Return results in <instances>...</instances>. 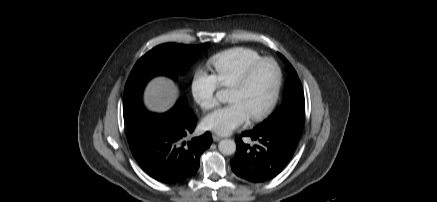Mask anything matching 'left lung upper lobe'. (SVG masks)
Returning <instances> with one entry per match:
<instances>
[{
    "label": "left lung upper lobe",
    "mask_w": 437,
    "mask_h": 202,
    "mask_svg": "<svg viewBox=\"0 0 437 202\" xmlns=\"http://www.w3.org/2000/svg\"><path fill=\"white\" fill-rule=\"evenodd\" d=\"M286 65L288 78L285 85L282 105L265 121L257 125L256 129H278L298 138L304 112L305 99L301 82L292 65L278 53Z\"/></svg>",
    "instance_id": "obj_1"
}]
</instances>
